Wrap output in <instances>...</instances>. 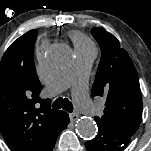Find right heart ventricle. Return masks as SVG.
Segmentation results:
<instances>
[{
    "label": "right heart ventricle",
    "instance_id": "right-heart-ventricle-1",
    "mask_svg": "<svg viewBox=\"0 0 151 151\" xmlns=\"http://www.w3.org/2000/svg\"><path fill=\"white\" fill-rule=\"evenodd\" d=\"M70 37L76 49L93 47V43L90 39L80 32L73 31L70 33Z\"/></svg>",
    "mask_w": 151,
    "mask_h": 151
}]
</instances>
